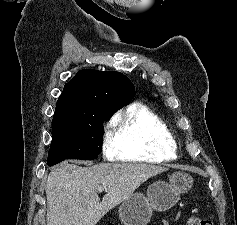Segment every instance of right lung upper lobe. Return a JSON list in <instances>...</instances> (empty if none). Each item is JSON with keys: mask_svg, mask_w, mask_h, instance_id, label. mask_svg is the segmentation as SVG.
Wrapping results in <instances>:
<instances>
[{"mask_svg": "<svg viewBox=\"0 0 237 225\" xmlns=\"http://www.w3.org/2000/svg\"><path fill=\"white\" fill-rule=\"evenodd\" d=\"M134 95V85L119 72L81 70L65 85L53 119L91 121L102 111L115 113Z\"/></svg>", "mask_w": 237, "mask_h": 225, "instance_id": "right-lung-upper-lobe-1", "label": "right lung upper lobe"}]
</instances>
